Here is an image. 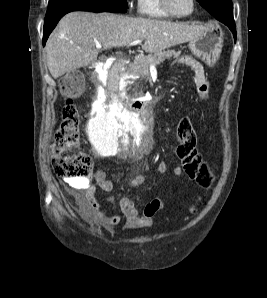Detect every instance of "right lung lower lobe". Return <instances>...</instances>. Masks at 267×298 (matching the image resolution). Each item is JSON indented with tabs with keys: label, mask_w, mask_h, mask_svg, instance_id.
Instances as JSON below:
<instances>
[{
	"label": "right lung lower lobe",
	"mask_w": 267,
	"mask_h": 298,
	"mask_svg": "<svg viewBox=\"0 0 267 298\" xmlns=\"http://www.w3.org/2000/svg\"><path fill=\"white\" fill-rule=\"evenodd\" d=\"M71 11H90V12H101L99 10L93 9L91 7H86V6H77V7H72L69 9H66L57 15H55L52 19L45 21L44 22V27H43V45H45L46 40L49 36V34L52 32L54 27L57 25L58 21L67 13Z\"/></svg>",
	"instance_id": "98d812e1"
}]
</instances>
